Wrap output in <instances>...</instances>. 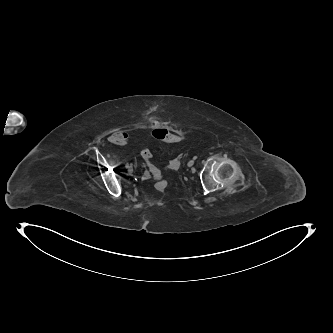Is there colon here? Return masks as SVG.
Segmentation results:
<instances>
[{
  "mask_svg": "<svg viewBox=\"0 0 333 333\" xmlns=\"http://www.w3.org/2000/svg\"><path fill=\"white\" fill-rule=\"evenodd\" d=\"M153 136L156 140L166 143L178 142L185 138L184 135L173 133L166 129L154 130ZM141 156L146 163L148 175L156 180L155 189L159 193H166L169 188V182L166 178L158 174L157 167L151 162L153 156L152 152L149 149H144L141 152Z\"/></svg>",
  "mask_w": 333,
  "mask_h": 333,
  "instance_id": "obj_1",
  "label": "colon"
}]
</instances>
